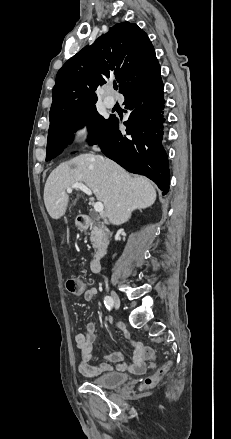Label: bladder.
Returning a JSON list of instances; mask_svg holds the SVG:
<instances>
[{"mask_svg": "<svg viewBox=\"0 0 231 439\" xmlns=\"http://www.w3.org/2000/svg\"><path fill=\"white\" fill-rule=\"evenodd\" d=\"M129 379V375L120 372H106L90 379V382L102 388H115L123 385Z\"/></svg>", "mask_w": 231, "mask_h": 439, "instance_id": "obj_1", "label": "bladder"}]
</instances>
